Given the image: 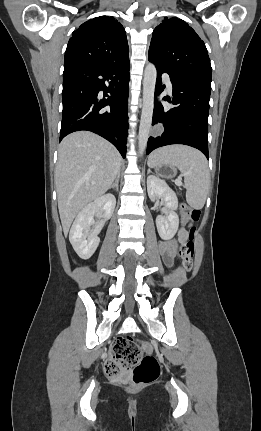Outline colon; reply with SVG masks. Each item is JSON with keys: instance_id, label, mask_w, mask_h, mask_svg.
<instances>
[{"instance_id": "1", "label": "colon", "mask_w": 261, "mask_h": 431, "mask_svg": "<svg viewBox=\"0 0 261 431\" xmlns=\"http://www.w3.org/2000/svg\"><path fill=\"white\" fill-rule=\"evenodd\" d=\"M189 222H195L200 212L186 204L181 205ZM196 228L189 226L179 249V255L185 271L193 269L194 238ZM145 352V354H144ZM105 372L111 377H118L128 370H132L131 381L134 386H143L155 381L160 374V366L152 355L149 344L138 343L132 338H118L111 348V358L105 363Z\"/></svg>"}]
</instances>
